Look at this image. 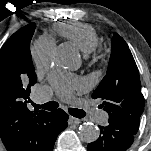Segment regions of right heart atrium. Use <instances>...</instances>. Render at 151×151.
I'll use <instances>...</instances> for the list:
<instances>
[{
  "label": "right heart atrium",
  "instance_id": "obj_1",
  "mask_svg": "<svg viewBox=\"0 0 151 151\" xmlns=\"http://www.w3.org/2000/svg\"><path fill=\"white\" fill-rule=\"evenodd\" d=\"M52 45L51 43L36 42L31 47V56L37 66L46 64L50 59Z\"/></svg>",
  "mask_w": 151,
  "mask_h": 151
}]
</instances>
